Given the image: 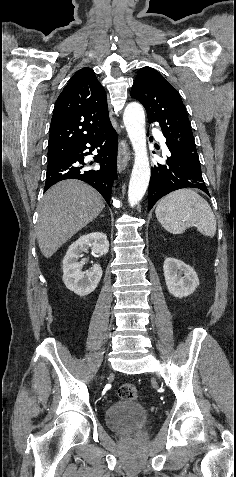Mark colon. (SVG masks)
Instances as JSON below:
<instances>
[{
  "label": "colon",
  "instance_id": "obj_1",
  "mask_svg": "<svg viewBox=\"0 0 236 477\" xmlns=\"http://www.w3.org/2000/svg\"><path fill=\"white\" fill-rule=\"evenodd\" d=\"M121 399L136 400L138 398L137 388L131 383L122 384L118 389Z\"/></svg>",
  "mask_w": 236,
  "mask_h": 477
}]
</instances>
